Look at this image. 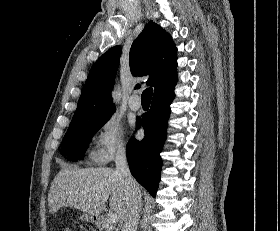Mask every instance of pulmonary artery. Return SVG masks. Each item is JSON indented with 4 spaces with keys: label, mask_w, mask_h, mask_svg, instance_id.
Segmentation results:
<instances>
[{
    "label": "pulmonary artery",
    "mask_w": 280,
    "mask_h": 231,
    "mask_svg": "<svg viewBox=\"0 0 280 231\" xmlns=\"http://www.w3.org/2000/svg\"><path fill=\"white\" fill-rule=\"evenodd\" d=\"M137 97V95H133L131 96V98L129 99V107L131 108V110L133 111H137L141 108V103L135 101V98Z\"/></svg>",
    "instance_id": "obj_1"
}]
</instances>
